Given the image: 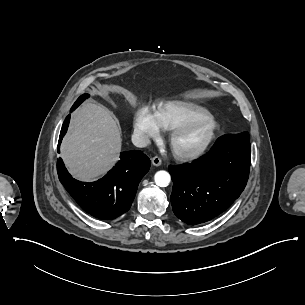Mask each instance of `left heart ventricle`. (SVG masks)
Instances as JSON below:
<instances>
[{
  "mask_svg": "<svg viewBox=\"0 0 305 305\" xmlns=\"http://www.w3.org/2000/svg\"><path fill=\"white\" fill-rule=\"evenodd\" d=\"M211 130V125L208 122L191 127L185 137L187 144L196 145L204 142Z\"/></svg>",
  "mask_w": 305,
  "mask_h": 305,
  "instance_id": "1",
  "label": "left heart ventricle"
}]
</instances>
